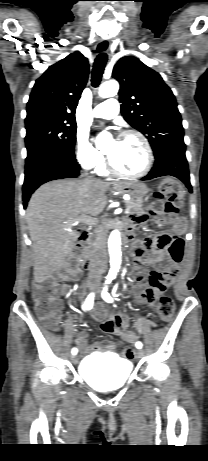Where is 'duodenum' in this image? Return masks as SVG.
Segmentation results:
<instances>
[{
  "instance_id": "duodenum-1",
  "label": "duodenum",
  "mask_w": 208,
  "mask_h": 461,
  "mask_svg": "<svg viewBox=\"0 0 208 461\" xmlns=\"http://www.w3.org/2000/svg\"><path fill=\"white\" fill-rule=\"evenodd\" d=\"M125 242H128L132 239V233L129 230L125 233L123 237ZM90 244V236L85 230L79 231V238H78V245L81 248H84L83 256H82V264L85 269H90L93 265L94 255L95 253L91 252L88 247Z\"/></svg>"
}]
</instances>
